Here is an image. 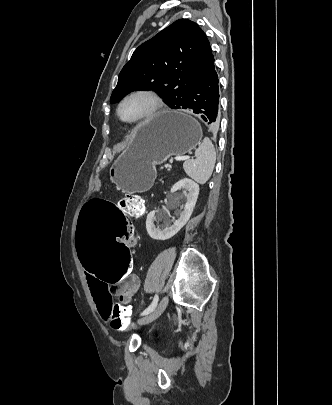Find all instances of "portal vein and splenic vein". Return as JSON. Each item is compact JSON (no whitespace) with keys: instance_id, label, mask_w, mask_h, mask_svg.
Wrapping results in <instances>:
<instances>
[{"instance_id":"obj_1","label":"portal vein and splenic vein","mask_w":332,"mask_h":405,"mask_svg":"<svg viewBox=\"0 0 332 405\" xmlns=\"http://www.w3.org/2000/svg\"><path fill=\"white\" fill-rule=\"evenodd\" d=\"M187 159H189V157H176L175 158V160H177V161H184V160H187Z\"/></svg>"}]
</instances>
